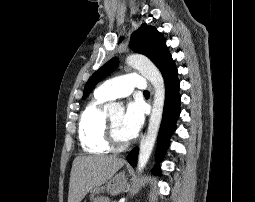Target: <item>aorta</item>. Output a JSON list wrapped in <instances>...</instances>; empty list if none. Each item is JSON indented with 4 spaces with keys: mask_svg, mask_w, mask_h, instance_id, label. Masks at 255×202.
Listing matches in <instances>:
<instances>
[{
    "mask_svg": "<svg viewBox=\"0 0 255 202\" xmlns=\"http://www.w3.org/2000/svg\"><path fill=\"white\" fill-rule=\"evenodd\" d=\"M126 62L129 66L138 70L154 87L152 112L147 133L139 148L137 168L141 172L150 158L161 125L165 102V84L158 68L145 56L130 55ZM105 108L110 115L124 112V107L120 103H109Z\"/></svg>",
    "mask_w": 255,
    "mask_h": 202,
    "instance_id": "obj_1",
    "label": "aorta"
}]
</instances>
